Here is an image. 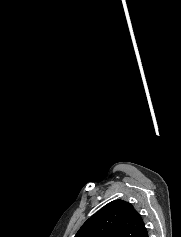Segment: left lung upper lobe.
Instances as JSON below:
<instances>
[{
    "instance_id": "5c2ea615",
    "label": "left lung upper lobe",
    "mask_w": 181,
    "mask_h": 237,
    "mask_svg": "<svg viewBox=\"0 0 181 237\" xmlns=\"http://www.w3.org/2000/svg\"><path fill=\"white\" fill-rule=\"evenodd\" d=\"M146 231L132 204L114 200L92 215L75 237H141Z\"/></svg>"
}]
</instances>
